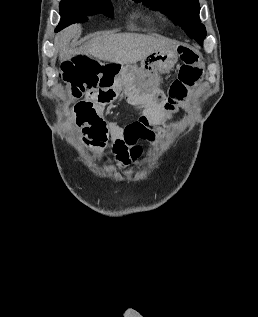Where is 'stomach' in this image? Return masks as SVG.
Here are the masks:
<instances>
[{"instance_id":"0dacf381","label":"stomach","mask_w":258,"mask_h":317,"mask_svg":"<svg viewBox=\"0 0 258 317\" xmlns=\"http://www.w3.org/2000/svg\"><path fill=\"white\" fill-rule=\"evenodd\" d=\"M179 58L178 46L172 50H156L151 52L146 58L140 62V66L132 62V64H125L123 70H132L138 76H150V74H157V72H169L175 66Z\"/></svg>"}]
</instances>
